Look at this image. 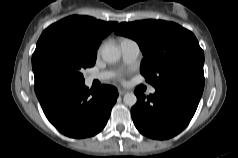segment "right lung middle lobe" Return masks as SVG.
<instances>
[{
	"instance_id": "right-lung-middle-lobe-1",
	"label": "right lung middle lobe",
	"mask_w": 238,
	"mask_h": 158,
	"mask_svg": "<svg viewBox=\"0 0 238 158\" xmlns=\"http://www.w3.org/2000/svg\"><path fill=\"white\" fill-rule=\"evenodd\" d=\"M96 55L78 38L45 30L32 56L34 77L53 74L84 83L82 71L95 64Z\"/></svg>"
}]
</instances>
